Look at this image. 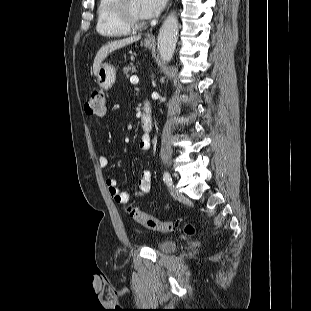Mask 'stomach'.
Segmentation results:
<instances>
[{
	"instance_id": "stomach-1",
	"label": "stomach",
	"mask_w": 311,
	"mask_h": 311,
	"mask_svg": "<svg viewBox=\"0 0 311 311\" xmlns=\"http://www.w3.org/2000/svg\"><path fill=\"white\" fill-rule=\"evenodd\" d=\"M152 43L148 41H144V46L146 48H151ZM97 83L105 90H108L112 87V85L115 83L116 80V69L113 65H110L108 63H103L99 66V69L97 71Z\"/></svg>"
}]
</instances>
